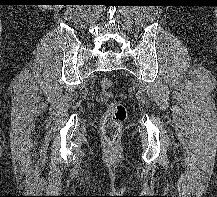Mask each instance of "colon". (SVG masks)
I'll use <instances>...</instances> for the list:
<instances>
[{"mask_svg": "<svg viewBox=\"0 0 217 197\" xmlns=\"http://www.w3.org/2000/svg\"><path fill=\"white\" fill-rule=\"evenodd\" d=\"M101 92L104 97H111L110 89L112 81L104 78L100 82ZM127 117V110L123 104L111 102L101 122V132L105 142L112 145L118 139L122 131V125Z\"/></svg>", "mask_w": 217, "mask_h": 197, "instance_id": "obj_1", "label": "colon"}]
</instances>
